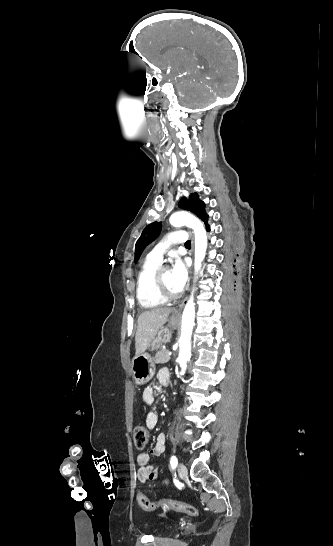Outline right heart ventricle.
<instances>
[{
  "instance_id": "obj_1",
  "label": "right heart ventricle",
  "mask_w": 333,
  "mask_h": 546,
  "mask_svg": "<svg viewBox=\"0 0 333 546\" xmlns=\"http://www.w3.org/2000/svg\"><path fill=\"white\" fill-rule=\"evenodd\" d=\"M160 268V262L147 258L143 263L137 278L136 297L141 307L156 308L166 303L157 295L154 289V276Z\"/></svg>"
}]
</instances>
